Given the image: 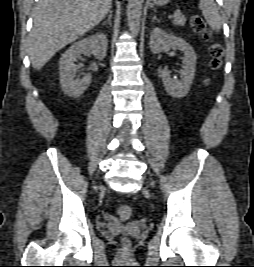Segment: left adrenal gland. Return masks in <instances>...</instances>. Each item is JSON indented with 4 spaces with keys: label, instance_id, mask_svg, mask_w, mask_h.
<instances>
[{
    "label": "left adrenal gland",
    "instance_id": "1",
    "mask_svg": "<svg viewBox=\"0 0 254 267\" xmlns=\"http://www.w3.org/2000/svg\"><path fill=\"white\" fill-rule=\"evenodd\" d=\"M154 21H159L158 18H157L156 16H153V17H152V22H154Z\"/></svg>",
    "mask_w": 254,
    "mask_h": 267
}]
</instances>
